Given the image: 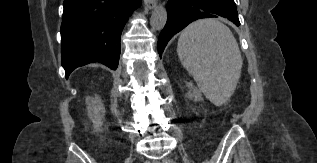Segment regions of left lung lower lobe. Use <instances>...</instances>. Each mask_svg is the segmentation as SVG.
Here are the masks:
<instances>
[{
  "mask_svg": "<svg viewBox=\"0 0 317 163\" xmlns=\"http://www.w3.org/2000/svg\"><path fill=\"white\" fill-rule=\"evenodd\" d=\"M167 14V23L158 39L160 57L168 41L197 19L221 16L240 25L234 0H169Z\"/></svg>",
  "mask_w": 317,
  "mask_h": 163,
  "instance_id": "obj_1",
  "label": "left lung lower lobe"
}]
</instances>
